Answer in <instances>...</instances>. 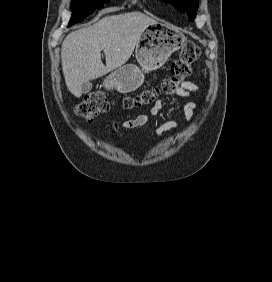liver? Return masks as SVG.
<instances>
[{
    "instance_id": "6515ba94",
    "label": "liver",
    "mask_w": 272,
    "mask_h": 282,
    "mask_svg": "<svg viewBox=\"0 0 272 282\" xmlns=\"http://www.w3.org/2000/svg\"><path fill=\"white\" fill-rule=\"evenodd\" d=\"M155 20L141 12L107 16L67 35L61 62L68 90L77 98L81 86L125 64L143 31ZM104 51L106 65L101 61Z\"/></svg>"
}]
</instances>
